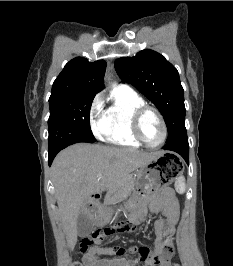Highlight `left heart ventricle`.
I'll use <instances>...</instances> for the list:
<instances>
[{"instance_id":"b2bd125f","label":"left heart ventricle","mask_w":233,"mask_h":266,"mask_svg":"<svg viewBox=\"0 0 233 266\" xmlns=\"http://www.w3.org/2000/svg\"><path fill=\"white\" fill-rule=\"evenodd\" d=\"M141 133L143 138L149 144H157L161 141L163 130L161 123L152 111H148L141 121Z\"/></svg>"}]
</instances>
